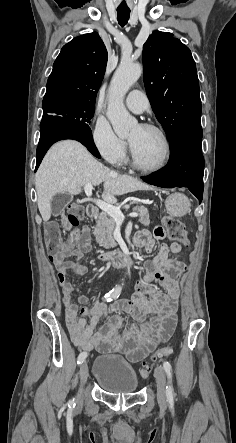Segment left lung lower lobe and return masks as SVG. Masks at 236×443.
Masks as SVG:
<instances>
[{"mask_svg":"<svg viewBox=\"0 0 236 443\" xmlns=\"http://www.w3.org/2000/svg\"><path fill=\"white\" fill-rule=\"evenodd\" d=\"M201 140V125L180 130L170 141L171 154L168 165L142 179L163 188L187 187L201 203L204 173Z\"/></svg>","mask_w":236,"mask_h":443,"instance_id":"0a47b994","label":"left lung lower lobe"}]
</instances>
